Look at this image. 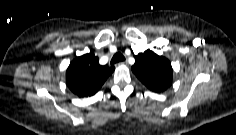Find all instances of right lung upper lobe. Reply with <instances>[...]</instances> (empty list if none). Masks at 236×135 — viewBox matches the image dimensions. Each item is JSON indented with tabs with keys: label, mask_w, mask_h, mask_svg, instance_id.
Returning <instances> with one entry per match:
<instances>
[{
	"label": "right lung upper lobe",
	"mask_w": 236,
	"mask_h": 135,
	"mask_svg": "<svg viewBox=\"0 0 236 135\" xmlns=\"http://www.w3.org/2000/svg\"><path fill=\"white\" fill-rule=\"evenodd\" d=\"M115 67L100 65L98 57L88 53L76 57L66 71L67 86L79 97L95 95Z\"/></svg>",
	"instance_id": "obj_1"
}]
</instances>
